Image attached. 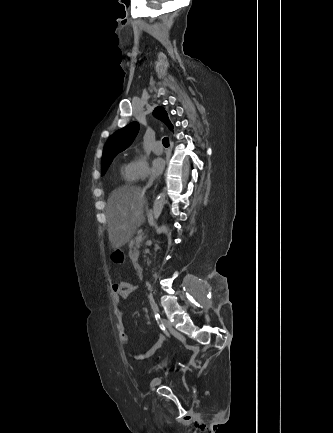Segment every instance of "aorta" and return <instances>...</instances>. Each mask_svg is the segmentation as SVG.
<instances>
[{
	"label": "aorta",
	"instance_id": "1",
	"mask_svg": "<svg viewBox=\"0 0 333 433\" xmlns=\"http://www.w3.org/2000/svg\"><path fill=\"white\" fill-rule=\"evenodd\" d=\"M166 201V195L164 192L160 193L153 204V220L151 221V225L155 226L156 220H158V218L160 217L164 204ZM149 244L151 245L152 242L150 241Z\"/></svg>",
	"mask_w": 333,
	"mask_h": 433
}]
</instances>
